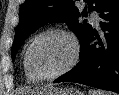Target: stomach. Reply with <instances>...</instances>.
I'll list each match as a JSON object with an SVG mask.
<instances>
[{"label": "stomach", "mask_w": 119, "mask_h": 95, "mask_svg": "<svg viewBox=\"0 0 119 95\" xmlns=\"http://www.w3.org/2000/svg\"><path fill=\"white\" fill-rule=\"evenodd\" d=\"M25 95H84L81 91L74 88L45 87Z\"/></svg>", "instance_id": "0dacf381"}]
</instances>
